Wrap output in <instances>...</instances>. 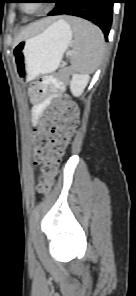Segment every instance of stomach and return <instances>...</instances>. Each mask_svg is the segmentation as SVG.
<instances>
[{"label":"stomach","mask_w":136,"mask_h":296,"mask_svg":"<svg viewBox=\"0 0 136 296\" xmlns=\"http://www.w3.org/2000/svg\"><path fill=\"white\" fill-rule=\"evenodd\" d=\"M72 39V30L64 20H58L43 32L18 41L13 57L20 76L33 80L54 72Z\"/></svg>","instance_id":"stomach-1"}]
</instances>
